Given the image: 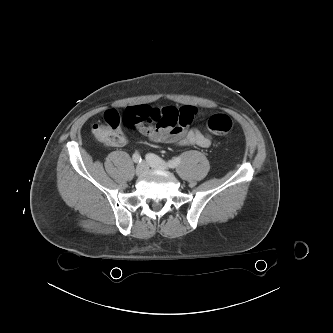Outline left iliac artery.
<instances>
[{
    "label": "left iliac artery",
    "instance_id": "1",
    "mask_svg": "<svg viewBox=\"0 0 333 333\" xmlns=\"http://www.w3.org/2000/svg\"><path fill=\"white\" fill-rule=\"evenodd\" d=\"M180 163H181V158L175 157L174 159L169 160L167 164L170 168H176Z\"/></svg>",
    "mask_w": 333,
    "mask_h": 333
}]
</instances>
